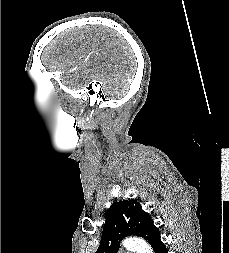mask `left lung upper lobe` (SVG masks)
Here are the masks:
<instances>
[{"mask_svg": "<svg viewBox=\"0 0 229 253\" xmlns=\"http://www.w3.org/2000/svg\"><path fill=\"white\" fill-rule=\"evenodd\" d=\"M105 219L96 253H117L120 241L128 235L143 237L153 248L161 240L151 215L142 209L137 200L115 202L106 210Z\"/></svg>", "mask_w": 229, "mask_h": 253, "instance_id": "1", "label": "left lung upper lobe"}]
</instances>
